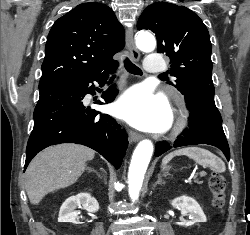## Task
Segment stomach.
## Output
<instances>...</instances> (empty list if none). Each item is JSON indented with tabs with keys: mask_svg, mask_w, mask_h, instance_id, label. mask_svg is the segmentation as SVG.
Segmentation results:
<instances>
[{
	"mask_svg": "<svg viewBox=\"0 0 250 235\" xmlns=\"http://www.w3.org/2000/svg\"><path fill=\"white\" fill-rule=\"evenodd\" d=\"M162 168H163V170H165V171L169 169L167 166H163Z\"/></svg>",
	"mask_w": 250,
	"mask_h": 235,
	"instance_id": "0dacf381",
	"label": "stomach"
}]
</instances>
